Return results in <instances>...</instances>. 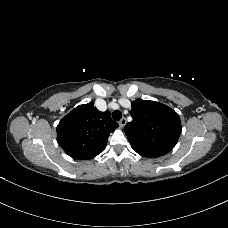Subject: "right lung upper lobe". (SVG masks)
<instances>
[{
    "label": "right lung upper lobe",
    "instance_id": "1",
    "mask_svg": "<svg viewBox=\"0 0 228 228\" xmlns=\"http://www.w3.org/2000/svg\"><path fill=\"white\" fill-rule=\"evenodd\" d=\"M117 127L109 111L101 112L90 102L76 107L61 119L57 141L72 158L91 159L105 149L109 133Z\"/></svg>",
    "mask_w": 228,
    "mask_h": 228
}]
</instances>
